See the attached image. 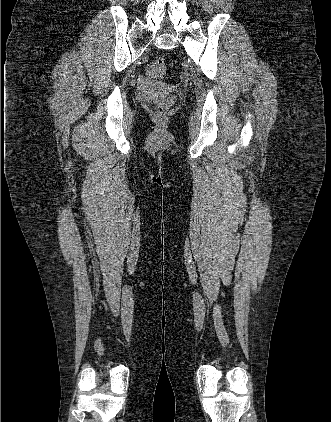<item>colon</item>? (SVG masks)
<instances>
[{"mask_svg": "<svg viewBox=\"0 0 331 422\" xmlns=\"http://www.w3.org/2000/svg\"><path fill=\"white\" fill-rule=\"evenodd\" d=\"M165 74V64L161 60L151 62L147 69L146 75L151 78H160ZM173 103L172 98L161 101L155 108V115L157 117H163L166 115Z\"/></svg>", "mask_w": 331, "mask_h": 422, "instance_id": "colon-1", "label": "colon"}]
</instances>
